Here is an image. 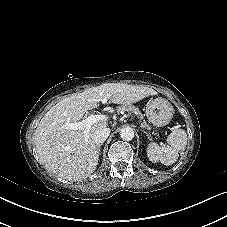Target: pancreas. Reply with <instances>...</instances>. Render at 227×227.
Returning a JSON list of instances; mask_svg holds the SVG:
<instances>
[{"instance_id": "1", "label": "pancreas", "mask_w": 227, "mask_h": 227, "mask_svg": "<svg viewBox=\"0 0 227 227\" xmlns=\"http://www.w3.org/2000/svg\"><path fill=\"white\" fill-rule=\"evenodd\" d=\"M117 111L121 112V111H127V112H131L133 114H135L140 120L143 119V115L142 113L139 111L138 108H136L135 106L132 105H121L117 108ZM144 125H146V122L143 121Z\"/></svg>"}]
</instances>
